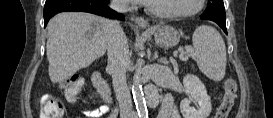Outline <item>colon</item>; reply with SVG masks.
Segmentation results:
<instances>
[{
	"mask_svg": "<svg viewBox=\"0 0 273 118\" xmlns=\"http://www.w3.org/2000/svg\"><path fill=\"white\" fill-rule=\"evenodd\" d=\"M82 85L81 79H75L66 83V92L70 100H75ZM237 94V84L234 79L224 81V95L215 113L214 118H228L232 110ZM64 112L63 102L53 95H43L40 99L41 118H60Z\"/></svg>",
	"mask_w": 273,
	"mask_h": 118,
	"instance_id": "colon-1",
	"label": "colon"
}]
</instances>
